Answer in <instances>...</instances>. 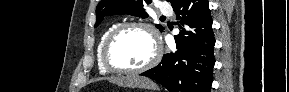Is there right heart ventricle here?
<instances>
[{"mask_svg": "<svg viewBox=\"0 0 289 92\" xmlns=\"http://www.w3.org/2000/svg\"><path fill=\"white\" fill-rule=\"evenodd\" d=\"M118 25H119L118 23H113L110 26H108L104 30V32L102 33V35L99 39L98 45H97V49H96L97 65H98L99 72L103 75L109 74L110 71H108L103 65L102 48H103L104 42H105L106 38L108 37V35L110 34V32Z\"/></svg>", "mask_w": 289, "mask_h": 92, "instance_id": "1", "label": "right heart ventricle"}]
</instances>
